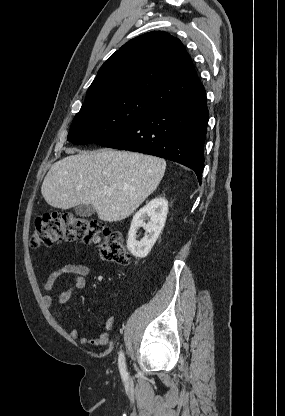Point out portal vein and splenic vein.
I'll use <instances>...</instances> for the list:
<instances>
[{
  "instance_id": "portal-vein-and-splenic-vein-1",
  "label": "portal vein and splenic vein",
  "mask_w": 285,
  "mask_h": 416,
  "mask_svg": "<svg viewBox=\"0 0 285 416\" xmlns=\"http://www.w3.org/2000/svg\"><path fill=\"white\" fill-rule=\"evenodd\" d=\"M108 194H113V190H108Z\"/></svg>"
}]
</instances>
